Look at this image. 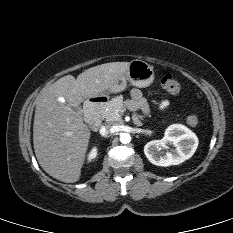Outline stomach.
Returning a JSON list of instances; mask_svg holds the SVG:
<instances>
[{"mask_svg":"<svg viewBox=\"0 0 233 233\" xmlns=\"http://www.w3.org/2000/svg\"><path fill=\"white\" fill-rule=\"evenodd\" d=\"M154 81L153 67L142 60H132L129 63L127 71L116 81L108 90L112 93H118L126 88L127 82L133 86L144 88Z\"/></svg>","mask_w":233,"mask_h":233,"instance_id":"obj_1","label":"stomach"}]
</instances>
